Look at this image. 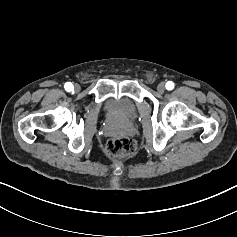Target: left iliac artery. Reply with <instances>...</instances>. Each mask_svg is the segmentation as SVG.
Segmentation results:
<instances>
[{"instance_id":"left-iliac-artery-1","label":"left iliac artery","mask_w":237,"mask_h":237,"mask_svg":"<svg viewBox=\"0 0 237 237\" xmlns=\"http://www.w3.org/2000/svg\"><path fill=\"white\" fill-rule=\"evenodd\" d=\"M165 87L167 90H172L174 88V83L172 81H168Z\"/></svg>"}]
</instances>
